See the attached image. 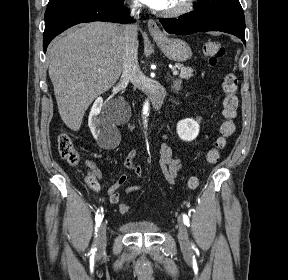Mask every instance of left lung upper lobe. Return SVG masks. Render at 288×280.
I'll return each instance as SVG.
<instances>
[{
    "label": "left lung upper lobe",
    "mask_w": 288,
    "mask_h": 280,
    "mask_svg": "<svg viewBox=\"0 0 288 280\" xmlns=\"http://www.w3.org/2000/svg\"><path fill=\"white\" fill-rule=\"evenodd\" d=\"M194 8L228 18L245 27L244 13L239 0H198L194 3Z\"/></svg>",
    "instance_id": "1"
}]
</instances>
